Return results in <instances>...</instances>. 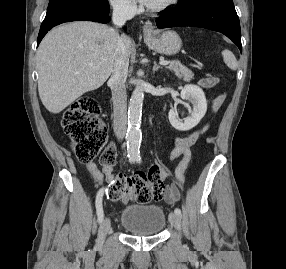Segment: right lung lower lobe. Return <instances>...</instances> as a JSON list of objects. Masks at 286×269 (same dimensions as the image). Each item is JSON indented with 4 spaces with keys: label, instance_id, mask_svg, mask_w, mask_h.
<instances>
[{
    "label": "right lung lower lobe",
    "instance_id": "98d812e1",
    "mask_svg": "<svg viewBox=\"0 0 286 269\" xmlns=\"http://www.w3.org/2000/svg\"><path fill=\"white\" fill-rule=\"evenodd\" d=\"M108 14L109 11H99L94 8L80 6L46 15L40 27L37 45H39L45 34L56 25L78 20L108 23L110 21Z\"/></svg>",
    "mask_w": 286,
    "mask_h": 269
}]
</instances>
